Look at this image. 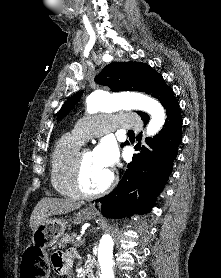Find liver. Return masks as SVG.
<instances>
[{"label": "liver", "mask_w": 221, "mask_h": 278, "mask_svg": "<svg viewBox=\"0 0 221 278\" xmlns=\"http://www.w3.org/2000/svg\"><path fill=\"white\" fill-rule=\"evenodd\" d=\"M81 203H78L72 199L61 198H42L35 206L31 217L30 227L34 232L37 227L46 219L52 215L66 214L81 207Z\"/></svg>", "instance_id": "obj_1"}]
</instances>
